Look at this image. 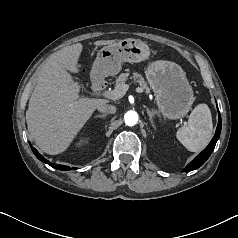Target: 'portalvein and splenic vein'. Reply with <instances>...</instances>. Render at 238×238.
<instances>
[{
	"instance_id": "portal-vein-and-splenic-vein-1",
	"label": "portal vein and splenic vein",
	"mask_w": 238,
	"mask_h": 238,
	"mask_svg": "<svg viewBox=\"0 0 238 238\" xmlns=\"http://www.w3.org/2000/svg\"><path fill=\"white\" fill-rule=\"evenodd\" d=\"M128 89H129V85L125 84L120 89H115V90H112V91H110V90L104 91L102 93V95L104 97L108 98V99L116 100V99H119V98L123 97ZM135 91L138 92V93H141L143 90L138 87V88L135 89Z\"/></svg>"
}]
</instances>
